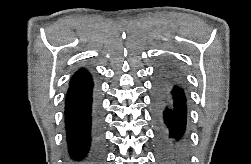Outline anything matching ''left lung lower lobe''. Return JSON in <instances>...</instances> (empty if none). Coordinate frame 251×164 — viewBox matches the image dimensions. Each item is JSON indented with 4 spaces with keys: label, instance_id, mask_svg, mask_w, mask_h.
I'll return each instance as SVG.
<instances>
[{
    "label": "left lung lower lobe",
    "instance_id": "left-lung-lower-lobe-1",
    "mask_svg": "<svg viewBox=\"0 0 251 164\" xmlns=\"http://www.w3.org/2000/svg\"><path fill=\"white\" fill-rule=\"evenodd\" d=\"M186 95L180 74L163 65L154 82V122L162 161L181 163L185 159Z\"/></svg>",
    "mask_w": 251,
    "mask_h": 164
}]
</instances>
